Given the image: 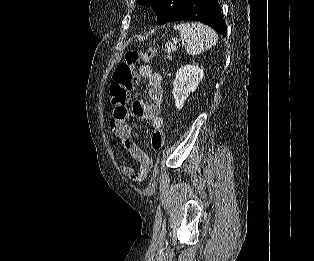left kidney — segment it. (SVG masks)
<instances>
[{
    "instance_id": "left-kidney-1",
    "label": "left kidney",
    "mask_w": 314,
    "mask_h": 261,
    "mask_svg": "<svg viewBox=\"0 0 314 261\" xmlns=\"http://www.w3.org/2000/svg\"><path fill=\"white\" fill-rule=\"evenodd\" d=\"M203 76L204 70L198 65H186L177 70L172 91L177 109L183 108L185 100L197 89Z\"/></svg>"
}]
</instances>
